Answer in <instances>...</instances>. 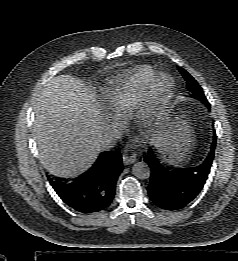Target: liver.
Here are the masks:
<instances>
[{
  "instance_id": "liver-1",
  "label": "liver",
  "mask_w": 238,
  "mask_h": 261,
  "mask_svg": "<svg viewBox=\"0 0 238 261\" xmlns=\"http://www.w3.org/2000/svg\"><path fill=\"white\" fill-rule=\"evenodd\" d=\"M39 160L51 174L74 177L103 150V116L95 95L80 79L58 75L41 90L34 107Z\"/></svg>"
}]
</instances>
